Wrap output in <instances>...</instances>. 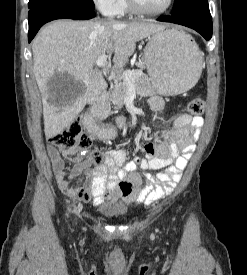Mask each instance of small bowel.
<instances>
[{
  "label": "small bowel",
  "mask_w": 247,
  "mask_h": 275,
  "mask_svg": "<svg viewBox=\"0 0 247 275\" xmlns=\"http://www.w3.org/2000/svg\"><path fill=\"white\" fill-rule=\"evenodd\" d=\"M150 105L157 114L164 110V101L159 97H153ZM203 123L200 115H178L173 118V129L166 132L164 140L145 143V158L128 160L125 150L110 149L105 152L104 164L92 169L85 156L73 168L66 169L61 153L50 145L48 153L56 182L65 195L82 202L93 201L96 206L105 202L109 205L151 204L170 195L177 187L195 151ZM86 125L92 128L90 118H86ZM160 169L164 170L155 172ZM139 170L144 171L143 174ZM81 175L83 179L71 183ZM121 183L130 186L129 193H121Z\"/></svg>",
  "instance_id": "c3829d8e"
}]
</instances>
